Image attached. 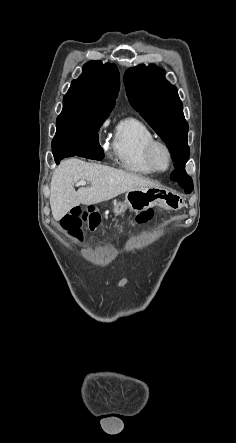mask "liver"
I'll return each instance as SVG.
<instances>
[{
  "instance_id": "obj_1",
  "label": "liver",
  "mask_w": 236,
  "mask_h": 443,
  "mask_svg": "<svg viewBox=\"0 0 236 443\" xmlns=\"http://www.w3.org/2000/svg\"><path fill=\"white\" fill-rule=\"evenodd\" d=\"M77 181H86L89 187L74 189ZM142 176L107 166L67 159L55 169L50 186L52 215L59 221L73 207L93 205L110 200L136 188L158 187Z\"/></svg>"
}]
</instances>
